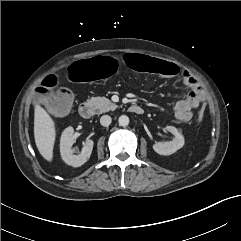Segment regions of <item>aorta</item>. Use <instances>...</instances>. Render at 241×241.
I'll return each instance as SVG.
<instances>
[{
    "label": "aorta",
    "instance_id": "1",
    "mask_svg": "<svg viewBox=\"0 0 241 241\" xmlns=\"http://www.w3.org/2000/svg\"><path fill=\"white\" fill-rule=\"evenodd\" d=\"M118 122H119L120 126L125 127L129 124V118L126 115H122V116L119 117Z\"/></svg>",
    "mask_w": 241,
    "mask_h": 241
}]
</instances>
